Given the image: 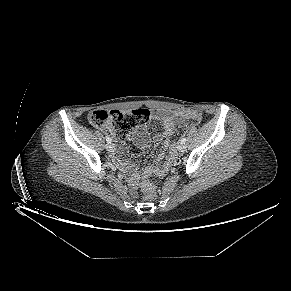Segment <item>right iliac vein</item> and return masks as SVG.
<instances>
[{"label": "right iliac vein", "instance_id": "63e3f726", "mask_svg": "<svg viewBox=\"0 0 291 291\" xmlns=\"http://www.w3.org/2000/svg\"><path fill=\"white\" fill-rule=\"evenodd\" d=\"M106 149L109 151V152H113L115 150V146L114 144L112 143H108L106 144Z\"/></svg>", "mask_w": 291, "mask_h": 291}]
</instances>
